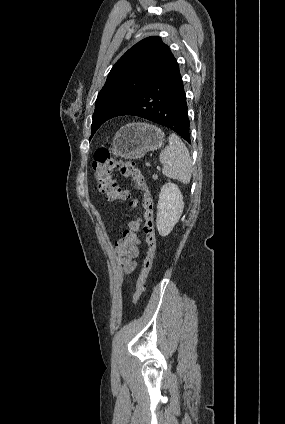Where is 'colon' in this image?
Returning <instances> with one entry per match:
<instances>
[{"instance_id": "obj_1", "label": "colon", "mask_w": 285, "mask_h": 424, "mask_svg": "<svg viewBox=\"0 0 285 424\" xmlns=\"http://www.w3.org/2000/svg\"><path fill=\"white\" fill-rule=\"evenodd\" d=\"M92 169L97 191L110 201H125L130 198V192L119 187L113 179L112 173L114 170H117L125 177L131 178L134 188L143 193V205L146 212L142 232L145 235L147 251L133 300L134 303H137L145 290V284L152 268L156 248L152 214L153 200L146 178L133 162L122 157L114 156L107 148L103 147L95 151ZM138 230L139 222L133 221L129 229L124 231L122 237L114 243V251L121 259L129 260L135 256L136 248L139 244Z\"/></svg>"}]
</instances>
